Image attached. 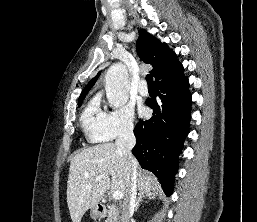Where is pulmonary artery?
Returning <instances> with one entry per match:
<instances>
[{"label": "pulmonary artery", "instance_id": "1", "mask_svg": "<svg viewBox=\"0 0 257 222\" xmlns=\"http://www.w3.org/2000/svg\"><path fill=\"white\" fill-rule=\"evenodd\" d=\"M137 90H138L139 94H141L142 96L148 95V87H147V84L145 81L139 82V84L137 86Z\"/></svg>", "mask_w": 257, "mask_h": 222}]
</instances>
